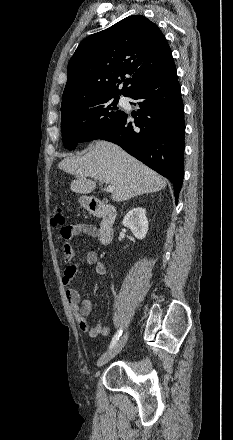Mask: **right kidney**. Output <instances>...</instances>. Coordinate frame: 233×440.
<instances>
[{"label": "right kidney", "mask_w": 233, "mask_h": 440, "mask_svg": "<svg viewBox=\"0 0 233 440\" xmlns=\"http://www.w3.org/2000/svg\"><path fill=\"white\" fill-rule=\"evenodd\" d=\"M123 225L129 228L137 239H144L148 231L146 210L142 207L133 208L125 215Z\"/></svg>", "instance_id": "ca27d5eb"}]
</instances>
